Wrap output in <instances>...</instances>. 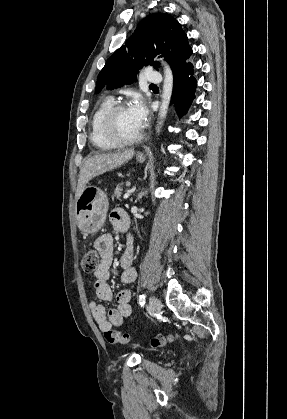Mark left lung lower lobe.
<instances>
[{"label": "left lung lower lobe", "mask_w": 287, "mask_h": 419, "mask_svg": "<svg viewBox=\"0 0 287 419\" xmlns=\"http://www.w3.org/2000/svg\"><path fill=\"white\" fill-rule=\"evenodd\" d=\"M193 74V67L191 63H187L184 67L173 72V95L175 101L176 111L179 116L185 114L195 98L197 82L194 77H189Z\"/></svg>", "instance_id": "obj_1"}]
</instances>
